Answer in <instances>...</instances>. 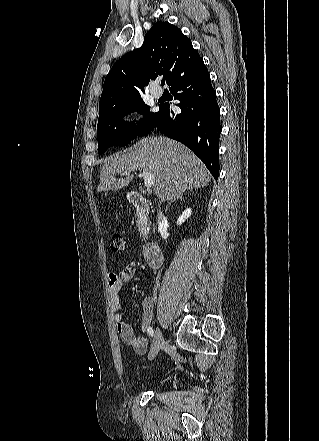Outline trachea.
I'll use <instances>...</instances> for the list:
<instances>
[{"label": "trachea", "instance_id": "1", "mask_svg": "<svg viewBox=\"0 0 319 441\" xmlns=\"http://www.w3.org/2000/svg\"><path fill=\"white\" fill-rule=\"evenodd\" d=\"M161 85H165V81L164 80L161 81Z\"/></svg>", "mask_w": 319, "mask_h": 441}]
</instances>
